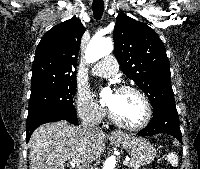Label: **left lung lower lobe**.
Returning a JSON list of instances; mask_svg holds the SVG:
<instances>
[{"label":"left lung lower lobe","instance_id":"0a47b994","mask_svg":"<svg viewBox=\"0 0 200 169\" xmlns=\"http://www.w3.org/2000/svg\"><path fill=\"white\" fill-rule=\"evenodd\" d=\"M159 133L170 134L182 143V134L175 106L163 105L154 109V116L152 120L147 127L138 132L137 135L151 136Z\"/></svg>","mask_w":200,"mask_h":169}]
</instances>
